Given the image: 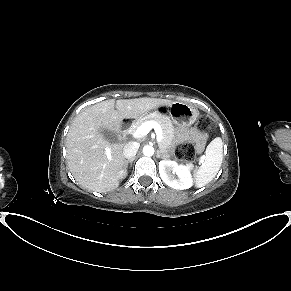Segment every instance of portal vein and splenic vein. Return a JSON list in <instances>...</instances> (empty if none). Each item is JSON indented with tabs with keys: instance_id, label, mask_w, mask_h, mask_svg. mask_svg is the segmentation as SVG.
I'll return each mask as SVG.
<instances>
[{
	"instance_id": "portal-vein-and-splenic-vein-1",
	"label": "portal vein and splenic vein",
	"mask_w": 291,
	"mask_h": 291,
	"mask_svg": "<svg viewBox=\"0 0 291 291\" xmlns=\"http://www.w3.org/2000/svg\"><path fill=\"white\" fill-rule=\"evenodd\" d=\"M151 129L155 130L156 140L158 143H160L162 141V136H163L162 128L155 121L144 122L141 126H139L137 128V130L135 132H133V137L136 139L142 138V137L146 136L151 131Z\"/></svg>"
}]
</instances>
